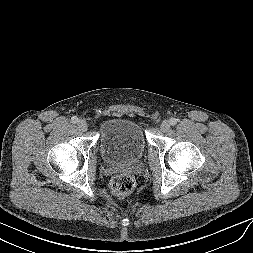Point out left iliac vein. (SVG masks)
I'll list each match as a JSON object with an SVG mask.
<instances>
[{
    "mask_svg": "<svg viewBox=\"0 0 253 253\" xmlns=\"http://www.w3.org/2000/svg\"><path fill=\"white\" fill-rule=\"evenodd\" d=\"M160 129L163 132H167L170 129V123L168 121H163L160 125Z\"/></svg>",
    "mask_w": 253,
    "mask_h": 253,
    "instance_id": "obj_1",
    "label": "left iliac vein"
}]
</instances>
